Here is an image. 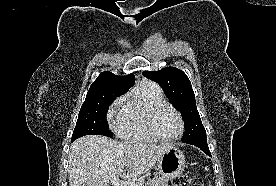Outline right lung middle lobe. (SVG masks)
Instances as JSON below:
<instances>
[{"label": "right lung middle lobe", "instance_id": "obj_1", "mask_svg": "<svg viewBox=\"0 0 276 186\" xmlns=\"http://www.w3.org/2000/svg\"><path fill=\"white\" fill-rule=\"evenodd\" d=\"M121 95L114 92L87 93L71 140L90 134L111 137L113 134L108 126L106 113L109 105Z\"/></svg>", "mask_w": 276, "mask_h": 186}]
</instances>
